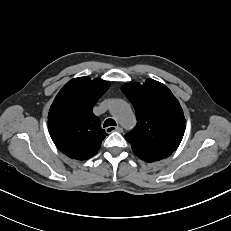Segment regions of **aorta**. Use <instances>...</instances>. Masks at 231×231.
<instances>
[{
    "label": "aorta",
    "mask_w": 231,
    "mask_h": 231,
    "mask_svg": "<svg viewBox=\"0 0 231 231\" xmlns=\"http://www.w3.org/2000/svg\"><path fill=\"white\" fill-rule=\"evenodd\" d=\"M110 111L123 125L133 120L129 104L122 99H113L110 103Z\"/></svg>",
    "instance_id": "obj_1"
}]
</instances>
